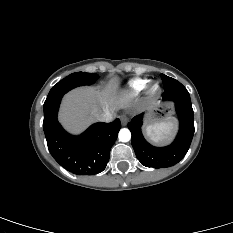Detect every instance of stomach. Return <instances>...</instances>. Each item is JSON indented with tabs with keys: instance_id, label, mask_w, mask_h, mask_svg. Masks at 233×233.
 Returning a JSON list of instances; mask_svg holds the SVG:
<instances>
[{
	"instance_id": "1",
	"label": "stomach",
	"mask_w": 233,
	"mask_h": 233,
	"mask_svg": "<svg viewBox=\"0 0 233 233\" xmlns=\"http://www.w3.org/2000/svg\"><path fill=\"white\" fill-rule=\"evenodd\" d=\"M179 110V105L177 100L169 95H164L159 97L147 116L146 123L148 125H153L162 121H166L174 118Z\"/></svg>"
}]
</instances>
